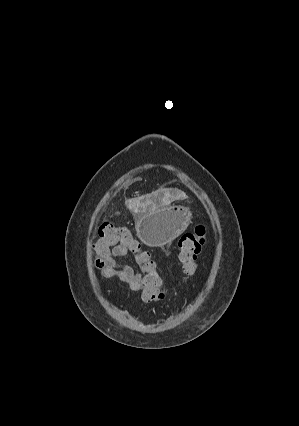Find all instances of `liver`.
Instances as JSON below:
<instances>
[{"label":"liver","instance_id":"liver-1","mask_svg":"<svg viewBox=\"0 0 299 426\" xmlns=\"http://www.w3.org/2000/svg\"><path fill=\"white\" fill-rule=\"evenodd\" d=\"M133 201H138V200H130V201H128V202H127V204L129 205V204H130L131 202H133ZM148 203H150V204H151V203H152V201H151V200H149V201H148ZM140 207H141V208H143V209H145V208H146V205L140 204Z\"/></svg>","mask_w":299,"mask_h":426}]
</instances>
